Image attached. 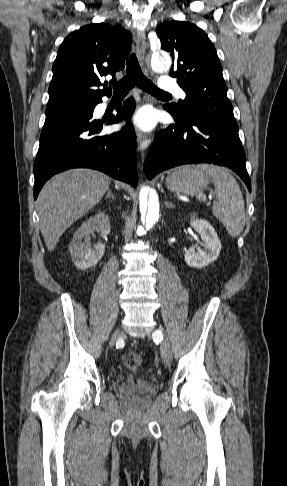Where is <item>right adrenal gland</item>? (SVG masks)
I'll use <instances>...</instances> for the list:
<instances>
[{
	"mask_svg": "<svg viewBox=\"0 0 287 486\" xmlns=\"http://www.w3.org/2000/svg\"><path fill=\"white\" fill-rule=\"evenodd\" d=\"M108 198H112L113 200L116 199L115 195L112 193V191L110 190V188L107 189V195L105 197V200H107Z\"/></svg>",
	"mask_w": 287,
	"mask_h": 486,
	"instance_id": "obj_1",
	"label": "right adrenal gland"
}]
</instances>
